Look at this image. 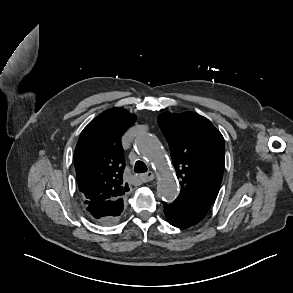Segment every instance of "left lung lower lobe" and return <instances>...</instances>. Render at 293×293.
Returning a JSON list of instances; mask_svg holds the SVG:
<instances>
[{"label":"left lung lower lobe","instance_id":"left-lung-lower-lobe-1","mask_svg":"<svg viewBox=\"0 0 293 293\" xmlns=\"http://www.w3.org/2000/svg\"><path fill=\"white\" fill-rule=\"evenodd\" d=\"M168 222L178 228H188L201 221L207 212L194 208L176 199L173 203L163 202Z\"/></svg>","mask_w":293,"mask_h":293}]
</instances>
